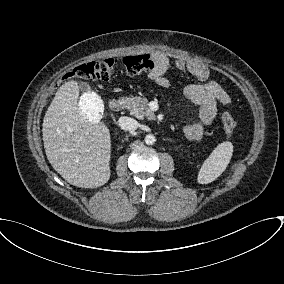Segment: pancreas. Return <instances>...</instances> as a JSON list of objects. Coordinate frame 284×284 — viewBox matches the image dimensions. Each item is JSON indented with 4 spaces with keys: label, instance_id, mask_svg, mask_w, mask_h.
Instances as JSON below:
<instances>
[{
    "label": "pancreas",
    "instance_id": "pancreas-1",
    "mask_svg": "<svg viewBox=\"0 0 284 284\" xmlns=\"http://www.w3.org/2000/svg\"><path fill=\"white\" fill-rule=\"evenodd\" d=\"M121 101L123 102L122 107L128 109L130 114L143 119L146 117L149 120L155 118L154 112L148 107V99L145 97L131 96V97H122Z\"/></svg>",
    "mask_w": 284,
    "mask_h": 284
}]
</instances>
